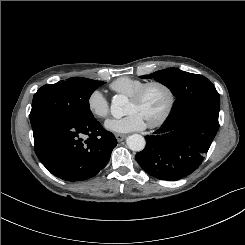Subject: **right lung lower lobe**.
Returning a JSON list of instances; mask_svg holds the SVG:
<instances>
[{
    "instance_id": "obj_1",
    "label": "right lung lower lobe",
    "mask_w": 245,
    "mask_h": 245,
    "mask_svg": "<svg viewBox=\"0 0 245 245\" xmlns=\"http://www.w3.org/2000/svg\"><path fill=\"white\" fill-rule=\"evenodd\" d=\"M35 153L49 172L66 181H82L108 163L117 140L93 118L67 122L44 118L32 126ZM87 136L86 140H83Z\"/></svg>"
}]
</instances>
